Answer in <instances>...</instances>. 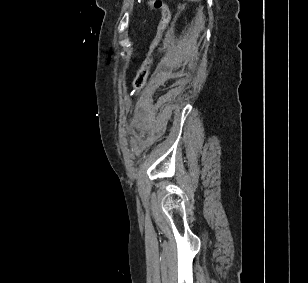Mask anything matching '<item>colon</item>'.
I'll use <instances>...</instances> for the list:
<instances>
[{
    "label": "colon",
    "mask_w": 308,
    "mask_h": 283,
    "mask_svg": "<svg viewBox=\"0 0 308 283\" xmlns=\"http://www.w3.org/2000/svg\"><path fill=\"white\" fill-rule=\"evenodd\" d=\"M146 9L159 12V23H158L157 34L150 48V54L145 59L139 70L137 71L135 78L133 80V91L135 93H138L144 87L147 81L150 72V67L152 64V53L158 47L159 42L162 39L171 18L170 10L163 0H149V2L146 5Z\"/></svg>",
    "instance_id": "5ec220e1"
}]
</instances>
